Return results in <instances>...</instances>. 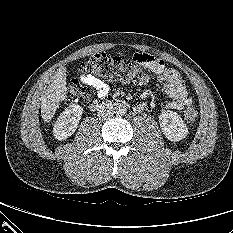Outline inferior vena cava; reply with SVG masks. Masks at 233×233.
<instances>
[{"instance_id":"inferior-vena-cava-1","label":"inferior vena cava","mask_w":233,"mask_h":233,"mask_svg":"<svg viewBox=\"0 0 233 233\" xmlns=\"http://www.w3.org/2000/svg\"><path fill=\"white\" fill-rule=\"evenodd\" d=\"M114 109L110 105H101L98 109V115L101 118H108L113 115Z\"/></svg>"}]
</instances>
